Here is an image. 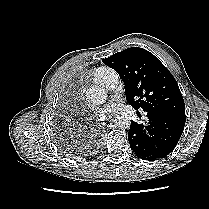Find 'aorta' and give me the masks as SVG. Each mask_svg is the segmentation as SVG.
<instances>
[{
	"instance_id": "aorta-1",
	"label": "aorta",
	"mask_w": 209,
	"mask_h": 209,
	"mask_svg": "<svg viewBox=\"0 0 209 209\" xmlns=\"http://www.w3.org/2000/svg\"><path fill=\"white\" fill-rule=\"evenodd\" d=\"M86 98L93 104H102L107 99V91L100 86H92L86 91ZM130 117L126 113H121L116 116L114 123L118 127L127 128L130 125Z\"/></svg>"
}]
</instances>
